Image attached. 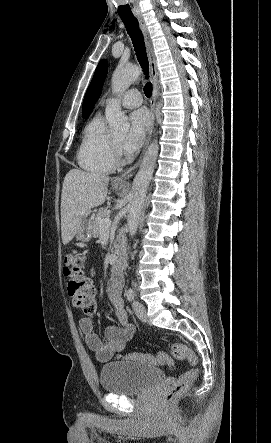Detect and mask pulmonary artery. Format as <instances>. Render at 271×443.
Listing matches in <instances>:
<instances>
[{"mask_svg":"<svg viewBox=\"0 0 271 443\" xmlns=\"http://www.w3.org/2000/svg\"><path fill=\"white\" fill-rule=\"evenodd\" d=\"M142 102V95L137 89H130L107 100L108 104H119L127 108L138 107Z\"/></svg>","mask_w":271,"mask_h":443,"instance_id":"1","label":"pulmonary artery"}]
</instances>
